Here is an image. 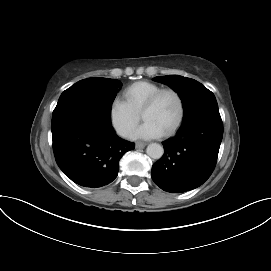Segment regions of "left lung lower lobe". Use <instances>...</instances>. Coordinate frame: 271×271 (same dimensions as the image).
<instances>
[{
    "label": "left lung lower lobe",
    "mask_w": 271,
    "mask_h": 271,
    "mask_svg": "<svg viewBox=\"0 0 271 271\" xmlns=\"http://www.w3.org/2000/svg\"><path fill=\"white\" fill-rule=\"evenodd\" d=\"M223 136L219 112L194 116L163 143L164 155L152 166L155 184L171 193L202 185L212 174Z\"/></svg>",
    "instance_id": "obj_1"
}]
</instances>
